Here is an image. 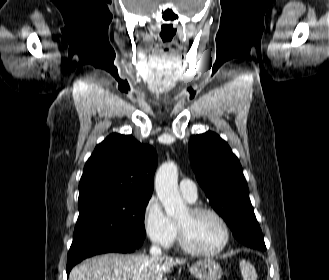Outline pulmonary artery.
Returning <instances> with one entry per match:
<instances>
[{
    "label": "pulmonary artery",
    "instance_id": "1",
    "mask_svg": "<svg viewBox=\"0 0 329 280\" xmlns=\"http://www.w3.org/2000/svg\"><path fill=\"white\" fill-rule=\"evenodd\" d=\"M180 193L190 202L197 198V186L190 179H182L179 183Z\"/></svg>",
    "mask_w": 329,
    "mask_h": 280
}]
</instances>
